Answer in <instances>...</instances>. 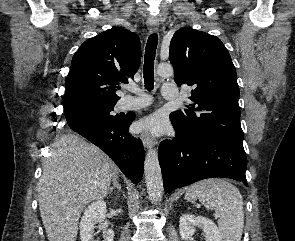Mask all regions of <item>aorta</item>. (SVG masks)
Masks as SVG:
<instances>
[{
    "label": "aorta",
    "mask_w": 295,
    "mask_h": 241,
    "mask_svg": "<svg viewBox=\"0 0 295 241\" xmlns=\"http://www.w3.org/2000/svg\"><path fill=\"white\" fill-rule=\"evenodd\" d=\"M173 73V67L170 64H159L157 67V74L160 77H171ZM144 173L149 198L152 203H157L162 198L164 187L158 153L154 148H150L146 154Z\"/></svg>",
    "instance_id": "aorta-1"
}]
</instances>
